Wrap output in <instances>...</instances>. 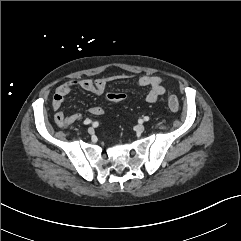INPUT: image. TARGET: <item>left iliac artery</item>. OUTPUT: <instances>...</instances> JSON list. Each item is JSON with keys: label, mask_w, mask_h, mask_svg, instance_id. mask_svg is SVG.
<instances>
[{"label": "left iliac artery", "mask_w": 241, "mask_h": 241, "mask_svg": "<svg viewBox=\"0 0 241 241\" xmlns=\"http://www.w3.org/2000/svg\"><path fill=\"white\" fill-rule=\"evenodd\" d=\"M149 119H150V118H149L148 116H145V117H144V121H149Z\"/></svg>", "instance_id": "left-iliac-artery-1"}]
</instances>
